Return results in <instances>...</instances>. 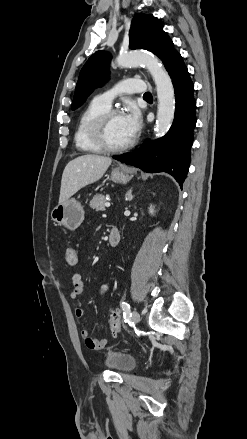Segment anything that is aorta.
I'll return each instance as SVG.
<instances>
[{"label": "aorta", "mask_w": 247, "mask_h": 439, "mask_svg": "<svg viewBox=\"0 0 247 439\" xmlns=\"http://www.w3.org/2000/svg\"><path fill=\"white\" fill-rule=\"evenodd\" d=\"M116 63L120 67H134L144 64L156 85L158 111L155 125L156 137L164 136L172 125L175 113V94L171 78L157 57L141 52L120 54Z\"/></svg>", "instance_id": "1"}]
</instances>
